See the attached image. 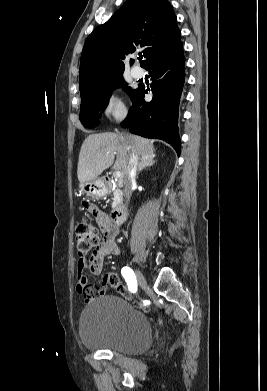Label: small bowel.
Here are the masks:
<instances>
[{
  "label": "small bowel",
  "instance_id": "1",
  "mask_svg": "<svg viewBox=\"0 0 267 391\" xmlns=\"http://www.w3.org/2000/svg\"><path fill=\"white\" fill-rule=\"evenodd\" d=\"M83 208L94 217L97 225L102 229L104 238L99 248L86 259H80L77 265V291L83 295L86 302L92 301L96 296L104 295L110 286L109 279L112 273H107L100 287L88 283L86 272L100 275L103 271L104 260L108 256L119 255L120 247L116 241L118 229L109 225V218L105 212L95 204L84 201Z\"/></svg>",
  "mask_w": 267,
  "mask_h": 391
}]
</instances>
